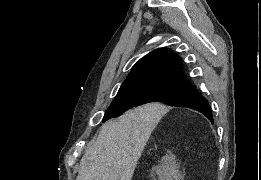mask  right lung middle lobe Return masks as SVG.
Masks as SVG:
<instances>
[{"label":"right lung middle lobe","mask_w":261,"mask_h":180,"mask_svg":"<svg viewBox=\"0 0 261 180\" xmlns=\"http://www.w3.org/2000/svg\"><path fill=\"white\" fill-rule=\"evenodd\" d=\"M198 91L188 81L155 82L120 89L106 111L103 122L122 115L133 107L150 103L164 102L172 105L176 101L193 96Z\"/></svg>","instance_id":"right-lung-middle-lobe-1"}]
</instances>
